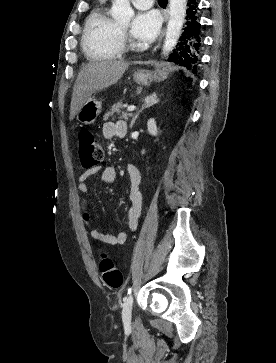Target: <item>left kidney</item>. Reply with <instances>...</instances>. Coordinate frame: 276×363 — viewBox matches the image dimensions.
<instances>
[{"label":"left kidney","instance_id":"left-kidney-1","mask_svg":"<svg viewBox=\"0 0 276 363\" xmlns=\"http://www.w3.org/2000/svg\"><path fill=\"white\" fill-rule=\"evenodd\" d=\"M147 128H148V132L152 135V136H156L158 134V129H157V125L155 122V119H149L147 122Z\"/></svg>","mask_w":276,"mask_h":363}]
</instances>
